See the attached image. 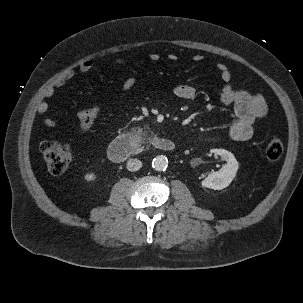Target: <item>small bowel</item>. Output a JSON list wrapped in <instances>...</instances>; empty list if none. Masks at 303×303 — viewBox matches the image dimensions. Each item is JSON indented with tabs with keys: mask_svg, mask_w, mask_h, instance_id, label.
<instances>
[{
	"mask_svg": "<svg viewBox=\"0 0 303 303\" xmlns=\"http://www.w3.org/2000/svg\"><path fill=\"white\" fill-rule=\"evenodd\" d=\"M167 58L170 61L177 60V56L175 54H170ZM149 59L152 62H158L161 60V56L158 53H151L149 55ZM193 60L195 62H201L203 61V56L195 55ZM116 61L121 65H126V61L123 59H117ZM93 66L92 61H85L79 66V71L82 73L90 72ZM215 67L220 73V78L224 83L220 96L221 102L225 106L232 107L234 112L233 119L228 128L227 136L233 141H247L253 136L255 123L258 120L263 119L267 114L265 99L261 95L233 86L231 84V72L225 63L218 62ZM75 74V70L72 69L65 72L45 91V97L53 96L56 88L64 86L67 81L71 80L75 76ZM135 84V77L129 75L123 81L121 89L123 91H129L135 86ZM173 92L175 96L184 100H193L197 96L196 89L189 84H179L174 87ZM48 108L49 107L46 102H41L38 104L36 110L40 115L45 116L48 112ZM44 123L48 127L55 126V121L47 116L44 117ZM216 140L218 139L212 137L201 139L200 142H213Z\"/></svg>",
	"mask_w": 303,
	"mask_h": 303,
	"instance_id": "obj_1",
	"label": "small bowel"
}]
</instances>
